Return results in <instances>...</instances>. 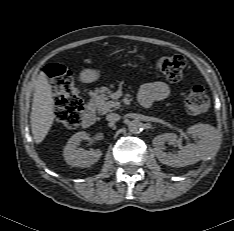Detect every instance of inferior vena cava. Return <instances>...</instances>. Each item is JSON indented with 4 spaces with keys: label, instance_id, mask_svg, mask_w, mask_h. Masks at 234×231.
<instances>
[{
    "label": "inferior vena cava",
    "instance_id": "602c4592",
    "mask_svg": "<svg viewBox=\"0 0 234 231\" xmlns=\"http://www.w3.org/2000/svg\"><path fill=\"white\" fill-rule=\"evenodd\" d=\"M106 120L112 123L117 122L118 120H120V115L116 113H109L106 116Z\"/></svg>",
    "mask_w": 234,
    "mask_h": 231
}]
</instances>
